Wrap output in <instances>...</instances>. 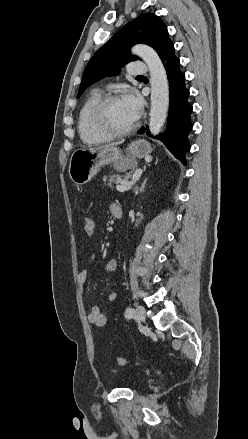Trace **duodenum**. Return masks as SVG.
<instances>
[{
	"mask_svg": "<svg viewBox=\"0 0 248 439\" xmlns=\"http://www.w3.org/2000/svg\"><path fill=\"white\" fill-rule=\"evenodd\" d=\"M113 216L117 219L122 218L123 216V211L121 206L117 205L116 208L113 210Z\"/></svg>",
	"mask_w": 248,
	"mask_h": 439,
	"instance_id": "duodenum-1",
	"label": "duodenum"
}]
</instances>
